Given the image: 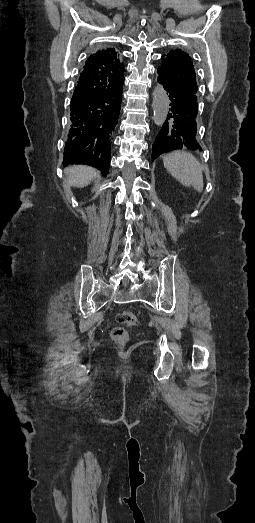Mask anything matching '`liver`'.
<instances>
[{
	"label": "liver",
	"mask_w": 255,
	"mask_h": 523,
	"mask_svg": "<svg viewBox=\"0 0 255 523\" xmlns=\"http://www.w3.org/2000/svg\"><path fill=\"white\" fill-rule=\"evenodd\" d=\"M65 174L69 176L70 186H76V188H85L97 176L96 170L89 166H71V168H66Z\"/></svg>",
	"instance_id": "liver-1"
}]
</instances>
